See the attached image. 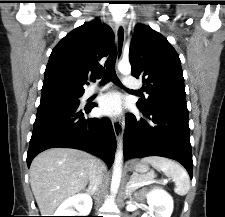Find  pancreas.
<instances>
[{"mask_svg":"<svg viewBox=\"0 0 225 217\" xmlns=\"http://www.w3.org/2000/svg\"><path fill=\"white\" fill-rule=\"evenodd\" d=\"M151 175L152 174H144V175H139V174H133L130 178V183H134V184H139V183H143V182H146L148 180L151 179ZM139 188V185L135 186V187H132L131 188V191H134L136 189Z\"/></svg>","mask_w":225,"mask_h":217,"instance_id":"obj_1","label":"pancreas"}]
</instances>
